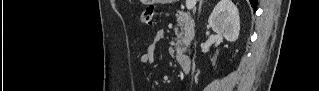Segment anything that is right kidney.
Masks as SVG:
<instances>
[{
    "label": "right kidney",
    "instance_id": "1",
    "mask_svg": "<svg viewBox=\"0 0 319 91\" xmlns=\"http://www.w3.org/2000/svg\"><path fill=\"white\" fill-rule=\"evenodd\" d=\"M208 24L215 33L225 37L227 41H236L240 31L237 7L231 0H220L214 7Z\"/></svg>",
    "mask_w": 319,
    "mask_h": 91
}]
</instances>
